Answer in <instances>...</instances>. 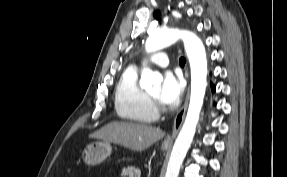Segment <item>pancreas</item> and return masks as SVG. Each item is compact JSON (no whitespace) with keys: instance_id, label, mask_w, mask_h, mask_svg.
<instances>
[{"instance_id":"obj_1","label":"pancreas","mask_w":287,"mask_h":177,"mask_svg":"<svg viewBox=\"0 0 287 177\" xmlns=\"http://www.w3.org/2000/svg\"><path fill=\"white\" fill-rule=\"evenodd\" d=\"M141 171L138 168L129 166L124 168L121 172L122 177H140Z\"/></svg>"}]
</instances>
